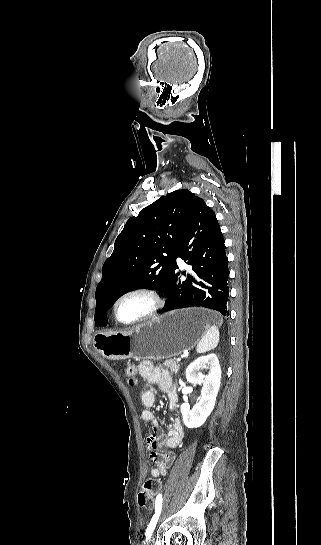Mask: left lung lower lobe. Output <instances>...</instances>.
I'll list each match as a JSON object with an SVG mask.
<instances>
[{
  "mask_svg": "<svg viewBox=\"0 0 321 545\" xmlns=\"http://www.w3.org/2000/svg\"><path fill=\"white\" fill-rule=\"evenodd\" d=\"M176 257L191 265L195 275L181 280ZM228 278L225 241L216 215L205 202L200 203L176 249L170 279L161 289L167 296L161 312L196 306L228 316Z\"/></svg>",
  "mask_w": 321,
  "mask_h": 545,
  "instance_id": "1",
  "label": "left lung lower lobe"
}]
</instances>
